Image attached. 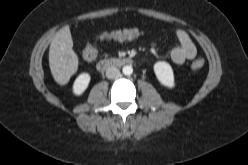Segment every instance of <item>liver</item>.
Returning a JSON list of instances; mask_svg holds the SVG:
<instances>
[{
	"mask_svg": "<svg viewBox=\"0 0 248 165\" xmlns=\"http://www.w3.org/2000/svg\"><path fill=\"white\" fill-rule=\"evenodd\" d=\"M73 40L69 26L58 30L49 48V66L54 80L65 85L78 69V57L73 51Z\"/></svg>",
	"mask_w": 248,
	"mask_h": 165,
	"instance_id": "1",
	"label": "liver"
}]
</instances>
